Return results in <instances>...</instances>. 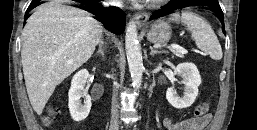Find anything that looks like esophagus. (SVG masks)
<instances>
[{"mask_svg":"<svg viewBox=\"0 0 257 130\" xmlns=\"http://www.w3.org/2000/svg\"><path fill=\"white\" fill-rule=\"evenodd\" d=\"M148 17H149V15L146 12L137 13L135 16L137 25H139V26L144 25L146 23V21L148 20Z\"/></svg>","mask_w":257,"mask_h":130,"instance_id":"1","label":"esophagus"}]
</instances>
